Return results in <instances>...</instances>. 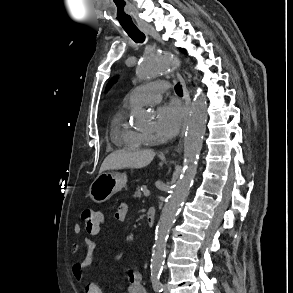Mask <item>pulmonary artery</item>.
<instances>
[{
	"instance_id": "1",
	"label": "pulmonary artery",
	"mask_w": 293,
	"mask_h": 293,
	"mask_svg": "<svg viewBox=\"0 0 293 293\" xmlns=\"http://www.w3.org/2000/svg\"><path fill=\"white\" fill-rule=\"evenodd\" d=\"M168 88L166 82H152L134 89L128 96L127 105H150L158 102Z\"/></svg>"
}]
</instances>
